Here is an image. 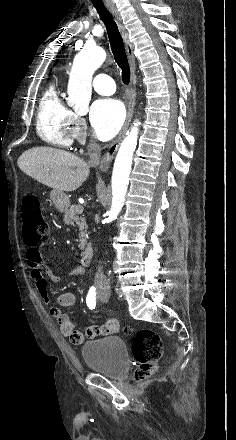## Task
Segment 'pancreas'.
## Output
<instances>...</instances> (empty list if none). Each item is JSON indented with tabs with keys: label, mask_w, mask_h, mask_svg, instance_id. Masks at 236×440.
Returning <instances> with one entry per match:
<instances>
[{
	"label": "pancreas",
	"mask_w": 236,
	"mask_h": 440,
	"mask_svg": "<svg viewBox=\"0 0 236 440\" xmlns=\"http://www.w3.org/2000/svg\"><path fill=\"white\" fill-rule=\"evenodd\" d=\"M79 205H72L69 210H67L64 214V222L68 225H73L76 222L79 226V237L80 244L79 248L83 250L86 245V235H87V224L83 218H79V212H77V208Z\"/></svg>",
	"instance_id": "pancreas-1"
}]
</instances>
